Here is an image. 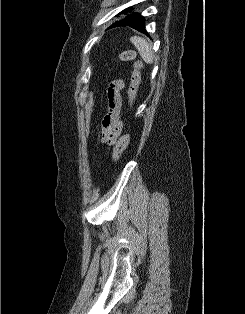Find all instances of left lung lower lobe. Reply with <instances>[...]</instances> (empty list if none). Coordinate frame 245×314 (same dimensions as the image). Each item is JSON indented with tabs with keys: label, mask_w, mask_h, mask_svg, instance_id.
Here are the masks:
<instances>
[{
	"label": "left lung lower lobe",
	"mask_w": 245,
	"mask_h": 314,
	"mask_svg": "<svg viewBox=\"0 0 245 314\" xmlns=\"http://www.w3.org/2000/svg\"><path fill=\"white\" fill-rule=\"evenodd\" d=\"M127 25L140 32L147 33L145 30V20L140 14H137V16L133 18Z\"/></svg>",
	"instance_id": "1"
}]
</instances>
